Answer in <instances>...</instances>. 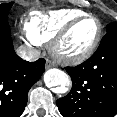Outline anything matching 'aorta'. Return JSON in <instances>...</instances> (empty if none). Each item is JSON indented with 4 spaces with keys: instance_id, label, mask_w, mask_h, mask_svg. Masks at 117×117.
<instances>
[{
    "instance_id": "1",
    "label": "aorta",
    "mask_w": 117,
    "mask_h": 117,
    "mask_svg": "<svg viewBox=\"0 0 117 117\" xmlns=\"http://www.w3.org/2000/svg\"><path fill=\"white\" fill-rule=\"evenodd\" d=\"M44 82L47 87H57L59 91H62L71 83L69 76L57 68L49 69L45 72Z\"/></svg>"
}]
</instances>
